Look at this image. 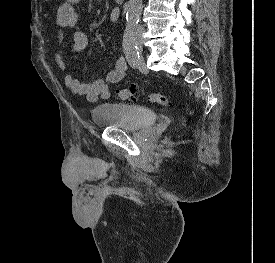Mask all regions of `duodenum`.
Wrapping results in <instances>:
<instances>
[{
	"mask_svg": "<svg viewBox=\"0 0 275 263\" xmlns=\"http://www.w3.org/2000/svg\"><path fill=\"white\" fill-rule=\"evenodd\" d=\"M116 1V3H118V4H123L124 2H125V0H115Z\"/></svg>",
	"mask_w": 275,
	"mask_h": 263,
	"instance_id": "obj_1",
	"label": "duodenum"
}]
</instances>
